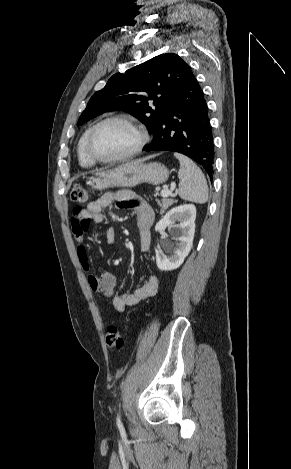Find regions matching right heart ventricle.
<instances>
[{"instance_id": "obj_1", "label": "right heart ventricle", "mask_w": 291, "mask_h": 469, "mask_svg": "<svg viewBox=\"0 0 291 469\" xmlns=\"http://www.w3.org/2000/svg\"><path fill=\"white\" fill-rule=\"evenodd\" d=\"M90 129L91 127L87 128L84 131V133L81 135L77 144V154H78L79 164L85 168H89L95 165V162L88 157L86 150H85V142H86V138Z\"/></svg>"}]
</instances>
